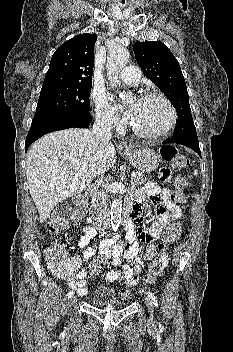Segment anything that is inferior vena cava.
<instances>
[{"instance_id": "inferior-vena-cava-1", "label": "inferior vena cava", "mask_w": 233, "mask_h": 352, "mask_svg": "<svg viewBox=\"0 0 233 352\" xmlns=\"http://www.w3.org/2000/svg\"><path fill=\"white\" fill-rule=\"evenodd\" d=\"M111 129L112 123L110 117L105 115H97L95 122L93 124V135L97 141L109 142L111 139ZM97 196L99 201L101 202V212H104V208L107 204V196H108V186L104 183L103 174H100V178L97 179ZM104 218L101 215L99 216V221Z\"/></svg>"}]
</instances>
